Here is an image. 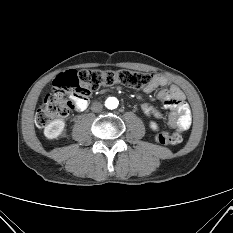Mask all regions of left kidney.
<instances>
[{
  "instance_id": "obj_1",
  "label": "left kidney",
  "mask_w": 233,
  "mask_h": 233,
  "mask_svg": "<svg viewBox=\"0 0 233 233\" xmlns=\"http://www.w3.org/2000/svg\"><path fill=\"white\" fill-rule=\"evenodd\" d=\"M150 128L154 131H157L158 130V126L157 124L154 122V121H151L150 122Z\"/></svg>"
}]
</instances>
